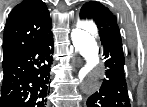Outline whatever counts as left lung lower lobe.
Returning <instances> with one entry per match:
<instances>
[{"instance_id": "left-lung-lower-lobe-1", "label": "left lung lower lobe", "mask_w": 147, "mask_h": 107, "mask_svg": "<svg viewBox=\"0 0 147 107\" xmlns=\"http://www.w3.org/2000/svg\"><path fill=\"white\" fill-rule=\"evenodd\" d=\"M108 68L100 89L87 99V107H131L124 74V53L119 34L100 39Z\"/></svg>"}]
</instances>
